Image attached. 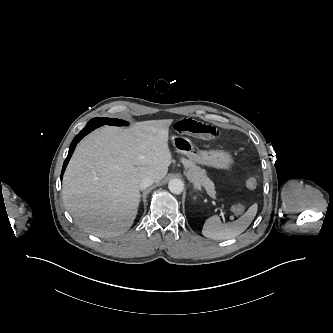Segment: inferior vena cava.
Returning <instances> with one entry per match:
<instances>
[{"label":"inferior vena cava","instance_id":"inferior-vena-cava-1","mask_svg":"<svg viewBox=\"0 0 333 333\" xmlns=\"http://www.w3.org/2000/svg\"><path fill=\"white\" fill-rule=\"evenodd\" d=\"M154 183V179L152 177H144L140 182H139V189L140 190H145L149 186H151Z\"/></svg>","mask_w":333,"mask_h":333}]
</instances>
